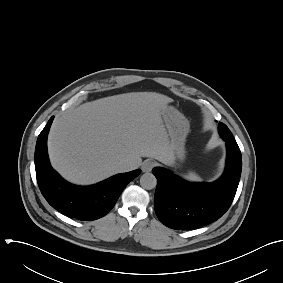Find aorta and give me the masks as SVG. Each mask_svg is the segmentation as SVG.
Masks as SVG:
<instances>
[{
  "mask_svg": "<svg viewBox=\"0 0 283 283\" xmlns=\"http://www.w3.org/2000/svg\"><path fill=\"white\" fill-rule=\"evenodd\" d=\"M140 185L146 190H151L156 187L157 179L152 173H144L140 177Z\"/></svg>",
  "mask_w": 283,
  "mask_h": 283,
  "instance_id": "1",
  "label": "aorta"
}]
</instances>
